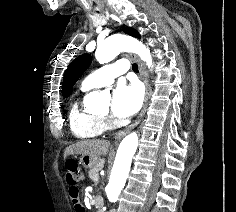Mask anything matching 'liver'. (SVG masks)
<instances>
[{
    "label": "liver",
    "instance_id": "liver-1",
    "mask_svg": "<svg viewBox=\"0 0 236 212\" xmlns=\"http://www.w3.org/2000/svg\"><path fill=\"white\" fill-rule=\"evenodd\" d=\"M110 148V143L106 140H84L70 145L64 152V159L68 155L81 154L91 155L99 158L100 156L107 155Z\"/></svg>",
    "mask_w": 236,
    "mask_h": 212
}]
</instances>
